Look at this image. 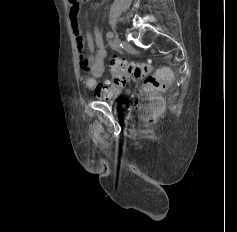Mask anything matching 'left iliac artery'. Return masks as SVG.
<instances>
[{"mask_svg":"<svg viewBox=\"0 0 237 232\" xmlns=\"http://www.w3.org/2000/svg\"><path fill=\"white\" fill-rule=\"evenodd\" d=\"M106 36H107L108 38H113V37H114V34H113L112 32H108V33L106 34Z\"/></svg>","mask_w":237,"mask_h":232,"instance_id":"left-iliac-artery-1","label":"left iliac artery"}]
</instances>
